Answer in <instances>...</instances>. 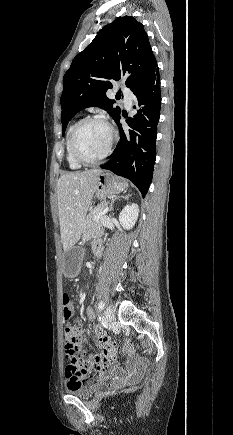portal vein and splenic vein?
<instances>
[{
	"mask_svg": "<svg viewBox=\"0 0 233 435\" xmlns=\"http://www.w3.org/2000/svg\"><path fill=\"white\" fill-rule=\"evenodd\" d=\"M109 208H105L97 217L94 218V221H98L101 217H103L107 212Z\"/></svg>",
	"mask_w": 233,
	"mask_h": 435,
	"instance_id": "portal-vein-and-splenic-vein-1",
	"label": "portal vein and splenic vein"
}]
</instances>
